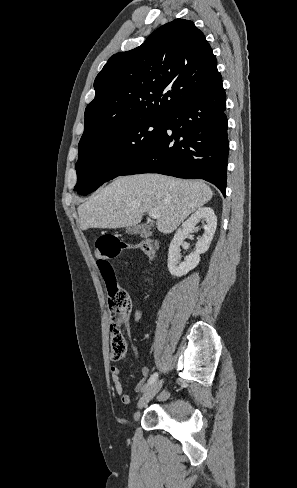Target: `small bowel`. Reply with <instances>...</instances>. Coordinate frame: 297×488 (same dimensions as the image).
I'll use <instances>...</instances> for the list:
<instances>
[{
  "instance_id": "small-bowel-1",
  "label": "small bowel",
  "mask_w": 297,
  "mask_h": 488,
  "mask_svg": "<svg viewBox=\"0 0 297 488\" xmlns=\"http://www.w3.org/2000/svg\"><path fill=\"white\" fill-rule=\"evenodd\" d=\"M133 320L135 322H140L142 320V313L139 310H136L133 313ZM129 321V316H127L124 319V323H127ZM120 368L117 366H111L110 368V375H111V380L113 383V387L117 395L120 397L121 401L123 404H130L132 402V397L128 394L124 393L122 383L120 381ZM149 375V368L148 367H142L140 371V380L137 382L135 385V392H142L146 388V380Z\"/></svg>"
}]
</instances>
